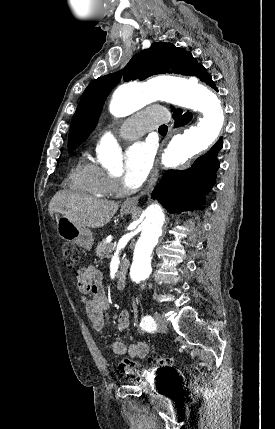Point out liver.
<instances>
[{
  "instance_id": "obj_1",
  "label": "liver",
  "mask_w": 275,
  "mask_h": 429,
  "mask_svg": "<svg viewBox=\"0 0 275 429\" xmlns=\"http://www.w3.org/2000/svg\"><path fill=\"white\" fill-rule=\"evenodd\" d=\"M119 203L82 196L69 190L58 191L51 199L50 216L59 213L83 228H100L110 222Z\"/></svg>"
}]
</instances>
